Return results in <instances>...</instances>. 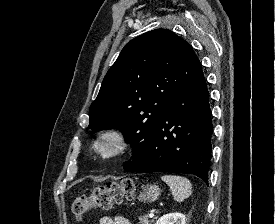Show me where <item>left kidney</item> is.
<instances>
[{
	"instance_id": "5707ae66",
	"label": "left kidney",
	"mask_w": 275,
	"mask_h": 224,
	"mask_svg": "<svg viewBox=\"0 0 275 224\" xmlns=\"http://www.w3.org/2000/svg\"><path fill=\"white\" fill-rule=\"evenodd\" d=\"M155 224H186L182 213H169L160 217Z\"/></svg>"
}]
</instances>
